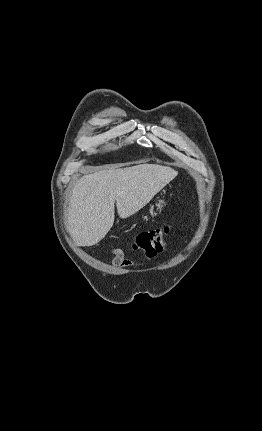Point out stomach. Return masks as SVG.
I'll return each instance as SVG.
<instances>
[{
	"mask_svg": "<svg viewBox=\"0 0 262 431\" xmlns=\"http://www.w3.org/2000/svg\"><path fill=\"white\" fill-rule=\"evenodd\" d=\"M163 203H164V201L159 200V202L156 204L157 208H158V209H161V208H162V206H163Z\"/></svg>",
	"mask_w": 262,
	"mask_h": 431,
	"instance_id": "0dacf381",
	"label": "stomach"
}]
</instances>
